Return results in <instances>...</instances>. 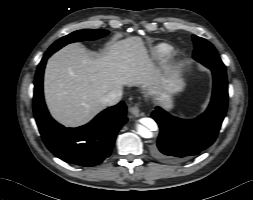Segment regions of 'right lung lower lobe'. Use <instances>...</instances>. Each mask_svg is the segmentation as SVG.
I'll use <instances>...</instances> for the list:
<instances>
[{
  "label": "right lung lower lobe",
  "instance_id": "right-lung-lower-lobe-1",
  "mask_svg": "<svg viewBox=\"0 0 253 200\" xmlns=\"http://www.w3.org/2000/svg\"><path fill=\"white\" fill-rule=\"evenodd\" d=\"M54 52L46 51L35 75L33 110L41 137L46 147L66 162L80 166L98 165L110 155L116 135L127 121L126 105L120 102L78 128L58 124L49 115L43 97L44 68Z\"/></svg>",
  "mask_w": 253,
  "mask_h": 200
}]
</instances>
